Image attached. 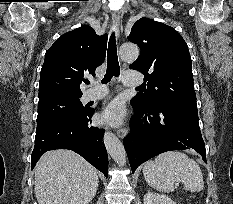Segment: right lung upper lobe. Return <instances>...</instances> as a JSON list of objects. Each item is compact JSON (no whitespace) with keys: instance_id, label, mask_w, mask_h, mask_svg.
Segmentation results:
<instances>
[{"instance_id":"cb5924a9","label":"right lung upper lobe","mask_w":233,"mask_h":204,"mask_svg":"<svg viewBox=\"0 0 233 204\" xmlns=\"http://www.w3.org/2000/svg\"><path fill=\"white\" fill-rule=\"evenodd\" d=\"M107 34L98 36L87 25L63 34L45 53L39 81V102L81 96L85 74L95 75L105 59Z\"/></svg>"}]
</instances>
